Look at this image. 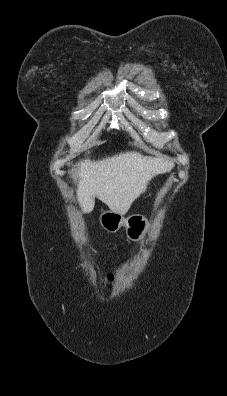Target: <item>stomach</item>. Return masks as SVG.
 Here are the masks:
<instances>
[{
	"instance_id": "obj_1",
	"label": "stomach",
	"mask_w": 227,
	"mask_h": 396,
	"mask_svg": "<svg viewBox=\"0 0 227 396\" xmlns=\"http://www.w3.org/2000/svg\"><path fill=\"white\" fill-rule=\"evenodd\" d=\"M100 225L108 232L115 233L125 226L127 237L132 241L142 240L149 232V221L140 214L124 218L123 214L113 210L103 211L99 216Z\"/></svg>"
}]
</instances>
